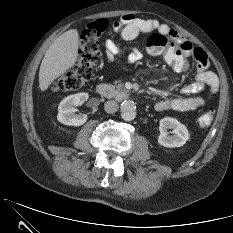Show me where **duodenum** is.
Here are the masks:
<instances>
[{
    "instance_id": "410a0bca",
    "label": "duodenum",
    "mask_w": 233,
    "mask_h": 233,
    "mask_svg": "<svg viewBox=\"0 0 233 233\" xmlns=\"http://www.w3.org/2000/svg\"><path fill=\"white\" fill-rule=\"evenodd\" d=\"M96 92L103 98H112L116 94L121 97L127 98L128 94L125 91L116 92L110 85L105 83H100L96 87Z\"/></svg>"
}]
</instances>
